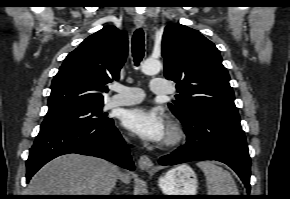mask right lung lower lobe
I'll return each mask as SVG.
<instances>
[{
    "label": "right lung lower lobe",
    "mask_w": 290,
    "mask_h": 199,
    "mask_svg": "<svg viewBox=\"0 0 290 199\" xmlns=\"http://www.w3.org/2000/svg\"><path fill=\"white\" fill-rule=\"evenodd\" d=\"M95 156L134 170L128 146L111 119L105 124L40 130L26 161V179L47 162L64 154Z\"/></svg>",
    "instance_id": "98d812e1"
}]
</instances>
